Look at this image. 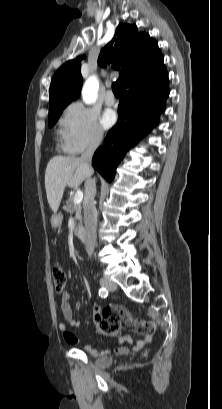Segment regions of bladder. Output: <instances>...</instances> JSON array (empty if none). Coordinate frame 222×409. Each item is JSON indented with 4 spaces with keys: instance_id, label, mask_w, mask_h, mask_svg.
<instances>
[{
    "instance_id": "1",
    "label": "bladder",
    "mask_w": 222,
    "mask_h": 409,
    "mask_svg": "<svg viewBox=\"0 0 222 409\" xmlns=\"http://www.w3.org/2000/svg\"><path fill=\"white\" fill-rule=\"evenodd\" d=\"M112 362L113 358L111 356H102L97 360L96 366L101 369H106L112 364Z\"/></svg>"
}]
</instances>
